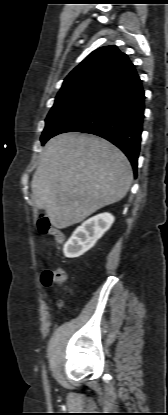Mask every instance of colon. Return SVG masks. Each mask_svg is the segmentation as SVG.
<instances>
[{
    "label": "colon",
    "instance_id": "colon-1",
    "mask_svg": "<svg viewBox=\"0 0 168 415\" xmlns=\"http://www.w3.org/2000/svg\"><path fill=\"white\" fill-rule=\"evenodd\" d=\"M38 230L41 234L53 237L57 245L64 242V234L61 230L51 226L49 220L41 216L37 222ZM66 280L65 271L61 267H51L46 269L42 275V281L46 286L63 285Z\"/></svg>",
    "mask_w": 168,
    "mask_h": 415
}]
</instances>
